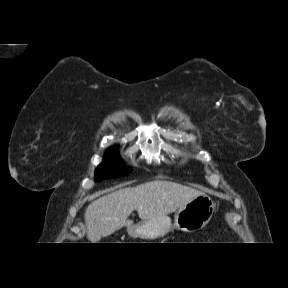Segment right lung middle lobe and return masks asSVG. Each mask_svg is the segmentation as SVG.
Wrapping results in <instances>:
<instances>
[{
    "instance_id": "right-lung-middle-lobe-1",
    "label": "right lung middle lobe",
    "mask_w": 288,
    "mask_h": 288,
    "mask_svg": "<svg viewBox=\"0 0 288 288\" xmlns=\"http://www.w3.org/2000/svg\"><path fill=\"white\" fill-rule=\"evenodd\" d=\"M130 170L123 166L115 150H109L103 162L95 170L96 181L103 178L123 176L129 173Z\"/></svg>"
}]
</instances>
